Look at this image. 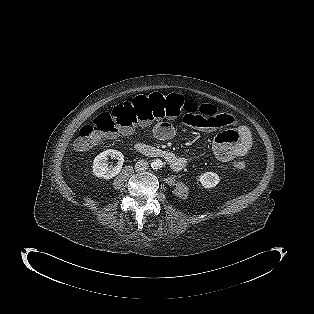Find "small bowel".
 <instances>
[{"mask_svg": "<svg viewBox=\"0 0 314 314\" xmlns=\"http://www.w3.org/2000/svg\"><path fill=\"white\" fill-rule=\"evenodd\" d=\"M209 106L214 111L212 115H208L204 108L198 107L192 112H184L180 118L181 124L203 132L221 130L212 145L213 152L220 161L228 163L236 157L245 156L252 146L249 128L239 124L233 115L219 113L213 106ZM152 133L158 140H168L174 136L175 128L171 122L161 121L153 127Z\"/></svg>", "mask_w": 314, "mask_h": 314, "instance_id": "c3829d8e", "label": "small bowel"}]
</instances>
